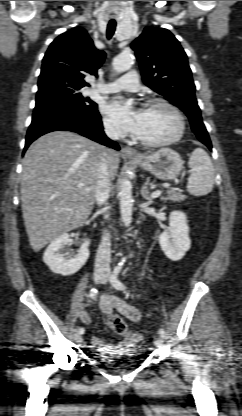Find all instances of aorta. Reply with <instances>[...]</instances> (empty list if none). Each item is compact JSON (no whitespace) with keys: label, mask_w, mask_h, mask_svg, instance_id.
Wrapping results in <instances>:
<instances>
[{"label":"aorta","mask_w":242,"mask_h":416,"mask_svg":"<svg viewBox=\"0 0 242 416\" xmlns=\"http://www.w3.org/2000/svg\"><path fill=\"white\" fill-rule=\"evenodd\" d=\"M133 64V56L131 53L123 52L116 56L113 59L112 65L116 72H125L130 69ZM120 213L121 219L125 226H129L132 221V207H133V198H132V184L127 178L123 180L120 192Z\"/></svg>","instance_id":"1"}]
</instances>
